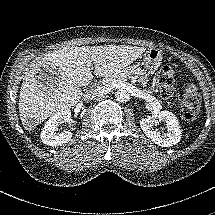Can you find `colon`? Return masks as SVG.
<instances>
[{
  "instance_id": "5ec220e1",
  "label": "colon",
  "mask_w": 215,
  "mask_h": 215,
  "mask_svg": "<svg viewBox=\"0 0 215 215\" xmlns=\"http://www.w3.org/2000/svg\"><path fill=\"white\" fill-rule=\"evenodd\" d=\"M158 88L165 99L175 101L179 106L180 114L189 119L196 118L199 111V88L196 85H189L186 88V95L182 96L175 90V67L167 62L161 67L157 76Z\"/></svg>"
}]
</instances>
